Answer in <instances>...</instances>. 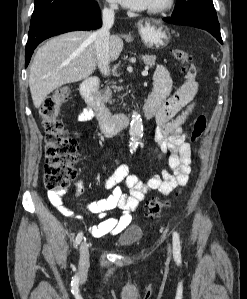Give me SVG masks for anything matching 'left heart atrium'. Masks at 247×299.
Listing matches in <instances>:
<instances>
[{
  "label": "left heart atrium",
  "mask_w": 247,
  "mask_h": 299,
  "mask_svg": "<svg viewBox=\"0 0 247 299\" xmlns=\"http://www.w3.org/2000/svg\"><path fill=\"white\" fill-rule=\"evenodd\" d=\"M131 9H144L151 5L153 0H112Z\"/></svg>",
  "instance_id": "1"
}]
</instances>
